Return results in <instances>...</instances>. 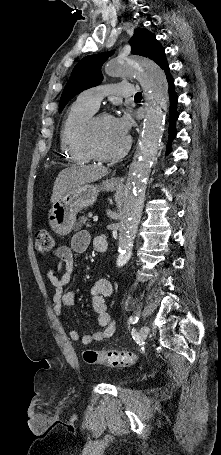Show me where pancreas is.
I'll list each match as a JSON object with an SVG mask.
<instances>
[{"label":"pancreas","instance_id":"obj_1","mask_svg":"<svg viewBox=\"0 0 221 455\" xmlns=\"http://www.w3.org/2000/svg\"><path fill=\"white\" fill-rule=\"evenodd\" d=\"M89 216H90V214L81 216V217L78 219L77 223L75 224V229H76V230H79V229H81V227H82L83 225H86L87 227H89V226H90V223L88 222V217H89Z\"/></svg>","mask_w":221,"mask_h":455}]
</instances>
